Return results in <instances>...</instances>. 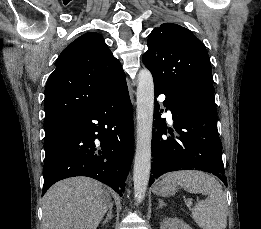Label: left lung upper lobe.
I'll list each match as a JSON object with an SVG mask.
<instances>
[{
	"label": "left lung upper lobe",
	"instance_id": "obj_1",
	"mask_svg": "<svg viewBox=\"0 0 261 229\" xmlns=\"http://www.w3.org/2000/svg\"><path fill=\"white\" fill-rule=\"evenodd\" d=\"M142 57L154 83L171 91L197 93L214 100L211 63L203 43L177 24L153 29Z\"/></svg>",
	"mask_w": 261,
	"mask_h": 229
}]
</instances>
